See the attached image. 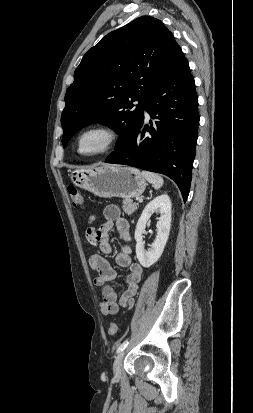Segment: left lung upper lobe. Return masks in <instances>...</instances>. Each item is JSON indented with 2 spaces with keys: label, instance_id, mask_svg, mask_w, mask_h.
<instances>
[{
  "label": "left lung upper lobe",
  "instance_id": "left-lung-upper-lobe-1",
  "mask_svg": "<svg viewBox=\"0 0 253 413\" xmlns=\"http://www.w3.org/2000/svg\"><path fill=\"white\" fill-rule=\"evenodd\" d=\"M179 49L172 33L150 16L107 34L85 53L67 89L61 116L63 146L81 128L100 122L119 135L109 157L125 149ZM135 101L139 103L134 108Z\"/></svg>",
  "mask_w": 253,
  "mask_h": 413
}]
</instances>
